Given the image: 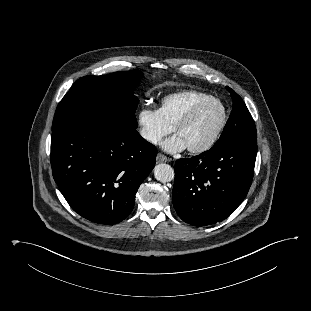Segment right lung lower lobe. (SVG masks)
Masks as SVG:
<instances>
[{
    "mask_svg": "<svg viewBox=\"0 0 311 311\" xmlns=\"http://www.w3.org/2000/svg\"><path fill=\"white\" fill-rule=\"evenodd\" d=\"M156 154L132 128L79 126L51 136L56 184L76 213L99 224L119 223L131 213Z\"/></svg>",
    "mask_w": 311,
    "mask_h": 311,
    "instance_id": "obj_1",
    "label": "right lung lower lobe"
}]
</instances>
